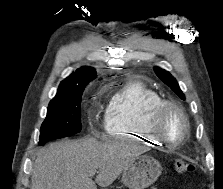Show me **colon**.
Returning <instances> with one entry per match:
<instances>
[{
  "instance_id": "1",
  "label": "colon",
  "mask_w": 223,
  "mask_h": 189,
  "mask_svg": "<svg viewBox=\"0 0 223 189\" xmlns=\"http://www.w3.org/2000/svg\"><path fill=\"white\" fill-rule=\"evenodd\" d=\"M175 171L179 174H187L194 170V166L184 160L178 159L174 163Z\"/></svg>"
}]
</instances>
